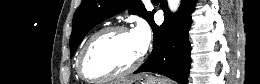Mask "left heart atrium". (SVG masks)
<instances>
[{
	"instance_id": "obj_1",
	"label": "left heart atrium",
	"mask_w": 260,
	"mask_h": 84,
	"mask_svg": "<svg viewBox=\"0 0 260 84\" xmlns=\"http://www.w3.org/2000/svg\"><path fill=\"white\" fill-rule=\"evenodd\" d=\"M132 35L137 43V46L141 53H144L151 43V31L149 26L143 22H138L134 28Z\"/></svg>"
}]
</instances>
